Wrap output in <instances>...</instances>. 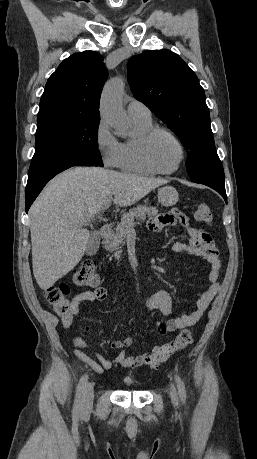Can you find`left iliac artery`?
I'll list each match as a JSON object with an SVG mask.
<instances>
[{
  "instance_id": "obj_1",
  "label": "left iliac artery",
  "mask_w": 257,
  "mask_h": 459,
  "mask_svg": "<svg viewBox=\"0 0 257 459\" xmlns=\"http://www.w3.org/2000/svg\"><path fill=\"white\" fill-rule=\"evenodd\" d=\"M175 380H176V383H177L179 395H180L182 401L184 402L185 399H186L185 385H184L183 381L181 380V378L178 375L175 376Z\"/></svg>"
}]
</instances>
